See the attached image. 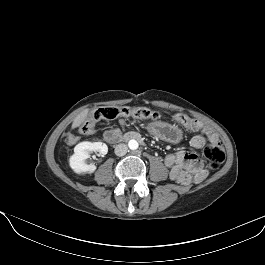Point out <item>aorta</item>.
I'll return each instance as SVG.
<instances>
[{"label": "aorta", "instance_id": "762f6f07", "mask_svg": "<svg viewBox=\"0 0 265 265\" xmlns=\"http://www.w3.org/2000/svg\"><path fill=\"white\" fill-rule=\"evenodd\" d=\"M139 144L136 140L134 139H131L129 140L128 142V147L131 149V150H136L138 148Z\"/></svg>", "mask_w": 265, "mask_h": 265}]
</instances>
